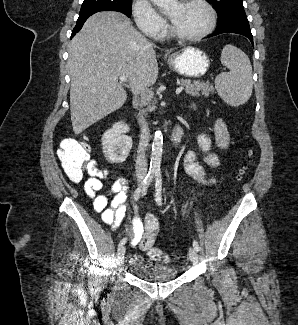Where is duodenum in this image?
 <instances>
[{
    "mask_svg": "<svg viewBox=\"0 0 298 325\" xmlns=\"http://www.w3.org/2000/svg\"><path fill=\"white\" fill-rule=\"evenodd\" d=\"M133 105L134 106H138L139 105V100L137 98H135L133 100ZM181 135H182V128L180 126H176L174 129H173V132H172V141L173 142H178L181 138Z\"/></svg>",
    "mask_w": 298,
    "mask_h": 325,
    "instance_id": "obj_1",
    "label": "duodenum"
}]
</instances>
